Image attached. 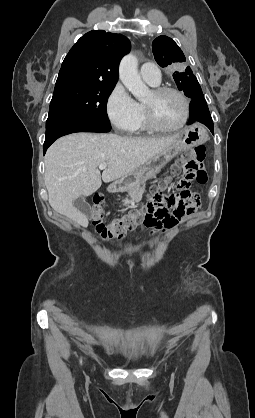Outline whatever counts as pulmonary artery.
<instances>
[{
    "label": "pulmonary artery",
    "instance_id": "e3ab8cb5",
    "mask_svg": "<svg viewBox=\"0 0 255 418\" xmlns=\"http://www.w3.org/2000/svg\"><path fill=\"white\" fill-rule=\"evenodd\" d=\"M140 74L143 80L150 85H158L161 81L160 70L153 63H144L141 66Z\"/></svg>",
    "mask_w": 255,
    "mask_h": 418
}]
</instances>
